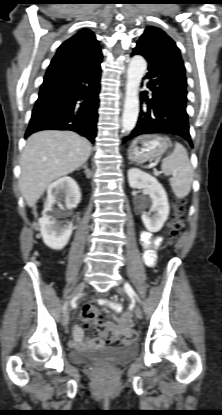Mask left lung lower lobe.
Segmentation results:
<instances>
[{
  "instance_id": "left-lung-lower-lobe-1",
  "label": "left lung lower lobe",
  "mask_w": 222,
  "mask_h": 415,
  "mask_svg": "<svg viewBox=\"0 0 222 415\" xmlns=\"http://www.w3.org/2000/svg\"><path fill=\"white\" fill-rule=\"evenodd\" d=\"M142 55L148 61L147 87L152 91L141 93L147 107L141 109L137 124L126 142L147 133H168L184 138L193 146L186 112L187 90L185 67L181 57L151 49L137 43L133 55Z\"/></svg>"
}]
</instances>
